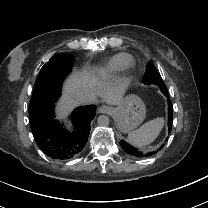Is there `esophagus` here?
Returning <instances> with one entry per match:
<instances>
[{"label":"esophagus","mask_w":208,"mask_h":208,"mask_svg":"<svg viewBox=\"0 0 208 208\" xmlns=\"http://www.w3.org/2000/svg\"><path fill=\"white\" fill-rule=\"evenodd\" d=\"M99 112L102 114H110L112 112L111 108L108 106H101Z\"/></svg>","instance_id":"34e87169"}]
</instances>
